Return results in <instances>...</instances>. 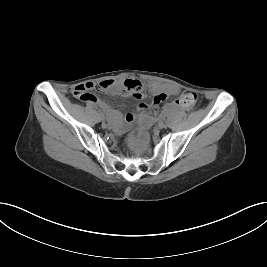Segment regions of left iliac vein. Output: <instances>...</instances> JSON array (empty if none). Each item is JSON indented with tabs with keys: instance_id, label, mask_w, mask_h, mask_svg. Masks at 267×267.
<instances>
[{
	"instance_id": "1",
	"label": "left iliac vein",
	"mask_w": 267,
	"mask_h": 267,
	"mask_svg": "<svg viewBox=\"0 0 267 267\" xmlns=\"http://www.w3.org/2000/svg\"><path fill=\"white\" fill-rule=\"evenodd\" d=\"M159 126H160L161 128H165V127H167V124L164 123V122H160Z\"/></svg>"
}]
</instances>
